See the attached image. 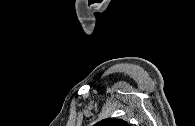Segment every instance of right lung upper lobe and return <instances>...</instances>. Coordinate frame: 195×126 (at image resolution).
Segmentation results:
<instances>
[{"mask_svg":"<svg viewBox=\"0 0 195 126\" xmlns=\"http://www.w3.org/2000/svg\"><path fill=\"white\" fill-rule=\"evenodd\" d=\"M94 126H129L125 121L121 119H104Z\"/></svg>","mask_w":195,"mask_h":126,"instance_id":"right-lung-upper-lobe-1","label":"right lung upper lobe"}]
</instances>
